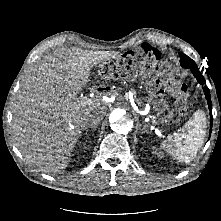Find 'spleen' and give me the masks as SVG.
Returning a JSON list of instances; mask_svg holds the SVG:
<instances>
[{"label": "spleen", "mask_w": 221, "mask_h": 221, "mask_svg": "<svg viewBox=\"0 0 221 221\" xmlns=\"http://www.w3.org/2000/svg\"><path fill=\"white\" fill-rule=\"evenodd\" d=\"M205 136V114L203 111L198 110L173 140H167L161 143V148L176 159L189 163L194 159L198 150L202 147Z\"/></svg>", "instance_id": "obj_1"}]
</instances>
